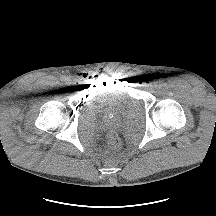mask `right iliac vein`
I'll list each match as a JSON object with an SVG mask.
<instances>
[{
  "label": "right iliac vein",
  "instance_id": "63e3f726",
  "mask_svg": "<svg viewBox=\"0 0 216 216\" xmlns=\"http://www.w3.org/2000/svg\"><path fill=\"white\" fill-rule=\"evenodd\" d=\"M65 81H66L67 84H70V83H71V80L68 79V78H66Z\"/></svg>",
  "mask_w": 216,
  "mask_h": 216
}]
</instances>
